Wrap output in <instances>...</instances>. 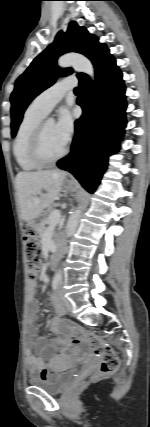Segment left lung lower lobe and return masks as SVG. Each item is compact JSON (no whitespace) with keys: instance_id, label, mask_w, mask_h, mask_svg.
<instances>
[{"instance_id":"obj_1","label":"left lung lower lobe","mask_w":150,"mask_h":427,"mask_svg":"<svg viewBox=\"0 0 150 427\" xmlns=\"http://www.w3.org/2000/svg\"><path fill=\"white\" fill-rule=\"evenodd\" d=\"M96 80L80 79L77 104L83 109L75 121L70 154L57 162L93 193L107 169L108 157L119 148L126 126L125 86L114 57L108 52L95 65Z\"/></svg>"}]
</instances>
